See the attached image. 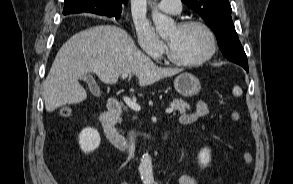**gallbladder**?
<instances>
[{
    "mask_svg": "<svg viewBox=\"0 0 293 184\" xmlns=\"http://www.w3.org/2000/svg\"><path fill=\"white\" fill-rule=\"evenodd\" d=\"M83 80L89 83L92 81V77L87 74V75L83 76Z\"/></svg>",
    "mask_w": 293,
    "mask_h": 184,
    "instance_id": "1",
    "label": "gallbladder"
}]
</instances>
